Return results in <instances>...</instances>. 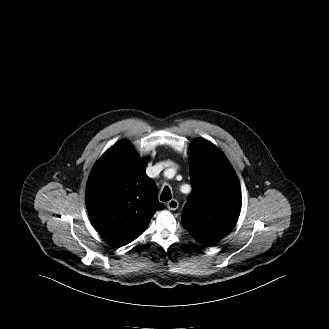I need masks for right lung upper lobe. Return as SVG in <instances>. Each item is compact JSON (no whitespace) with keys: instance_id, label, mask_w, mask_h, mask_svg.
<instances>
[{"instance_id":"right-lung-upper-lobe-1","label":"right lung upper lobe","mask_w":329,"mask_h":329,"mask_svg":"<svg viewBox=\"0 0 329 329\" xmlns=\"http://www.w3.org/2000/svg\"><path fill=\"white\" fill-rule=\"evenodd\" d=\"M86 205L93 226L118 246L136 239L153 214L164 208L143 160L127 140L112 146L93 168L86 187Z\"/></svg>"}]
</instances>
